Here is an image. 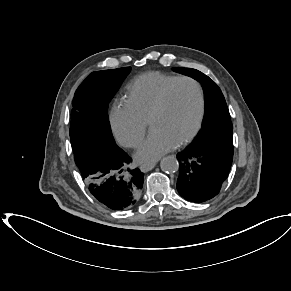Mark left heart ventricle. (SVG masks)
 Instances as JSON below:
<instances>
[{
  "label": "left heart ventricle",
  "instance_id": "obj_1",
  "mask_svg": "<svg viewBox=\"0 0 291 291\" xmlns=\"http://www.w3.org/2000/svg\"><path fill=\"white\" fill-rule=\"evenodd\" d=\"M199 113V97L193 84L179 82L171 90L165 110L151 123V130L165 133L176 143L194 128Z\"/></svg>",
  "mask_w": 291,
  "mask_h": 291
}]
</instances>
